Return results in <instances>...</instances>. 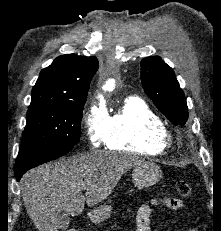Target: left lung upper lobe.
I'll return each instance as SVG.
<instances>
[{
  "mask_svg": "<svg viewBox=\"0 0 221 231\" xmlns=\"http://www.w3.org/2000/svg\"><path fill=\"white\" fill-rule=\"evenodd\" d=\"M141 81L148 97L174 125L186 123L185 95L174 71L160 57H146L141 61Z\"/></svg>",
  "mask_w": 221,
  "mask_h": 231,
  "instance_id": "left-lung-upper-lobe-1",
  "label": "left lung upper lobe"
}]
</instances>
